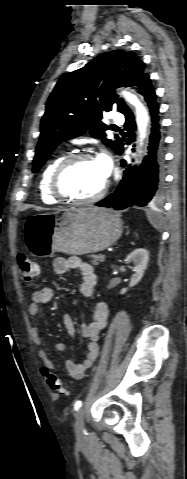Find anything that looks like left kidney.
I'll return each instance as SVG.
<instances>
[{
    "label": "left kidney",
    "instance_id": "5707ae66",
    "mask_svg": "<svg viewBox=\"0 0 187 479\" xmlns=\"http://www.w3.org/2000/svg\"><path fill=\"white\" fill-rule=\"evenodd\" d=\"M148 261L149 252L144 248H138L127 256L126 262L133 263L134 265L132 267L134 274L132 275V278L130 280V287L135 286L142 279L144 272L147 268ZM126 291L127 289L123 288L120 293L124 294Z\"/></svg>",
    "mask_w": 187,
    "mask_h": 479
}]
</instances>
